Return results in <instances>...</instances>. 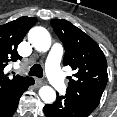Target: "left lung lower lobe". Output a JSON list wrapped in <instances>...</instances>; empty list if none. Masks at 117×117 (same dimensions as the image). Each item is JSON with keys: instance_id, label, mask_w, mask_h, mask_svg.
I'll list each match as a JSON object with an SVG mask.
<instances>
[{"instance_id": "1", "label": "left lung lower lobe", "mask_w": 117, "mask_h": 117, "mask_svg": "<svg viewBox=\"0 0 117 117\" xmlns=\"http://www.w3.org/2000/svg\"><path fill=\"white\" fill-rule=\"evenodd\" d=\"M46 117H87L92 112L68 96H60L57 93V99L53 104L44 106Z\"/></svg>"}]
</instances>
